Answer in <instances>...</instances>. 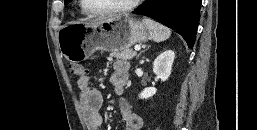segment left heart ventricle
<instances>
[{
    "label": "left heart ventricle",
    "mask_w": 257,
    "mask_h": 130,
    "mask_svg": "<svg viewBox=\"0 0 257 130\" xmlns=\"http://www.w3.org/2000/svg\"><path fill=\"white\" fill-rule=\"evenodd\" d=\"M131 0H87L89 7L96 11L108 10L127 4Z\"/></svg>",
    "instance_id": "left-heart-ventricle-1"
}]
</instances>
